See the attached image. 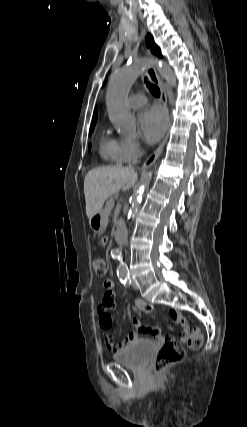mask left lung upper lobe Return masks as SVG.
<instances>
[{"mask_svg": "<svg viewBox=\"0 0 247 427\" xmlns=\"http://www.w3.org/2000/svg\"><path fill=\"white\" fill-rule=\"evenodd\" d=\"M146 45H147V47H149L151 49L153 54H155L159 57H162L161 51L158 50V47L154 43V39L150 34H148V36L146 37Z\"/></svg>", "mask_w": 247, "mask_h": 427, "instance_id": "left-lung-upper-lobe-1", "label": "left lung upper lobe"}]
</instances>
